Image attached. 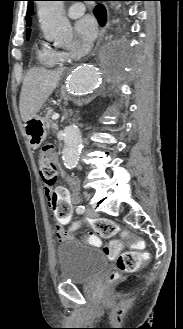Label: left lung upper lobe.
Returning <instances> with one entry per match:
<instances>
[{
    "mask_svg": "<svg viewBox=\"0 0 183 329\" xmlns=\"http://www.w3.org/2000/svg\"><path fill=\"white\" fill-rule=\"evenodd\" d=\"M28 1V10H27V15H26V21H27V25L31 26V15H32V10H33V5L32 2L35 0H27ZM31 34V29H27L26 30V35H27V39H29Z\"/></svg>",
    "mask_w": 183,
    "mask_h": 329,
    "instance_id": "5c2ea615",
    "label": "left lung upper lobe"
}]
</instances>
